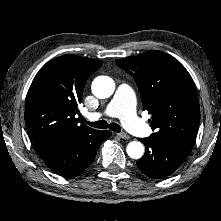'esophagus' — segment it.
<instances>
[{"label": "esophagus", "mask_w": 221, "mask_h": 221, "mask_svg": "<svg viewBox=\"0 0 221 221\" xmlns=\"http://www.w3.org/2000/svg\"><path fill=\"white\" fill-rule=\"evenodd\" d=\"M117 135H118L120 138L125 139V140H127V139L130 138V136H129L127 133H124V132L118 133Z\"/></svg>", "instance_id": "esophagus-1"}]
</instances>
